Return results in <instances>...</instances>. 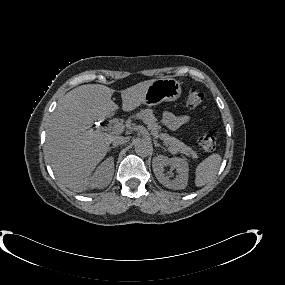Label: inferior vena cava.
<instances>
[{
    "instance_id": "obj_1",
    "label": "inferior vena cava",
    "mask_w": 285,
    "mask_h": 285,
    "mask_svg": "<svg viewBox=\"0 0 285 285\" xmlns=\"http://www.w3.org/2000/svg\"><path fill=\"white\" fill-rule=\"evenodd\" d=\"M129 141L128 137H124V136H116L113 141L112 144L113 145H123L126 144Z\"/></svg>"
}]
</instances>
